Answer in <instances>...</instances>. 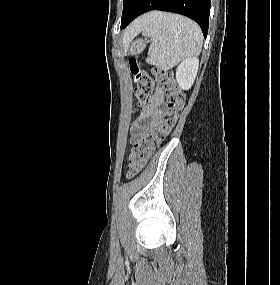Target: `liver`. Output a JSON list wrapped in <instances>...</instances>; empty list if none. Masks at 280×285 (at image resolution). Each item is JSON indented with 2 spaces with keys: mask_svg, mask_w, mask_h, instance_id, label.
Masks as SVG:
<instances>
[{
  "mask_svg": "<svg viewBox=\"0 0 280 285\" xmlns=\"http://www.w3.org/2000/svg\"><path fill=\"white\" fill-rule=\"evenodd\" d=\"M154 13H149L146 15H143L141 17H139L137 20H135L127 29V31L124 34V40L125 41H129L130 39H132L136 34H138L143 26L145 25V23L147 22V20L152 17Z\"/></svg>",
  "mask_w": 280,
  "mask_h": 285,
  "instance_id": "liver-1",
  "label": "liver"
}]
</instances>
